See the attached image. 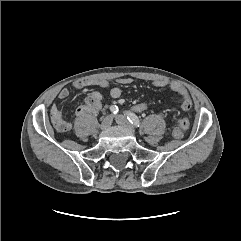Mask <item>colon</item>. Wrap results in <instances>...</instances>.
I'll use <instances>...</instances> for the list:
<instances>
[{
  "instance_id": "obj_1",
  "label": "colon",
  "mask_w": 241,
  "mask_h": 241,
  "mask_svg": "<svg viewBox=\"0 0 241 241\" xmlns=\"http://www.w3.org/2000/svg\"><path fill=\"white\" fill-rule=\"evenodd\" d=\"M132 110L136 113L141 114L148 110V105L144 102H138L132 106ZM54 124L55 126H58V122H55ZM190 124H191V121L189 118L179 119L177 122V126L173 131L174 137L178 139L182 138L184 131L189 128Z\"/></svg>"
}]
</instances>
